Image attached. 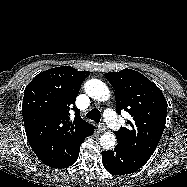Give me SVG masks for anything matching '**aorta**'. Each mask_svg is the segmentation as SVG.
Listing matches in <instances>:
<instances>
[{"instance_id":"aorta-1","label":"aorta","mask_w":187,"mask_h":187,"mask_svg":"<svg viewBox=\"0 0 187 187\" xmlns=\"http://www.w3.org/2000/svg\"><path fill=\"white\" fill-rule=\"evenodd\" d=\"M85 92L91 98L97 101H106L110 97V91L106 84L98 79H90L84 85ZM116 136L112 132H105L100 137V145L111 150L116 145Z\"/></svg>"}]
</instances>
